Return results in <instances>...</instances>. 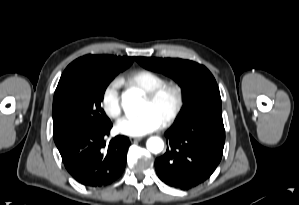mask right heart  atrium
<instances>
[{
  "label": "right heart atrium",
  "mask_w": 299,
  "mask_h": 205,
  "mask_svg": "<svg viewBox=\"0 0 299 205\" xmlns=\"http://www.w3.org/2000/svg\"><path fill=\"white\" fill-rule=\"evenodd\" d=\"M119 81H110L103 89L101 94V107L105 114L113 119H117L122 112V105L119 96Z\"/></svg>",
  "instance_id": "1"
}]
</instances>
